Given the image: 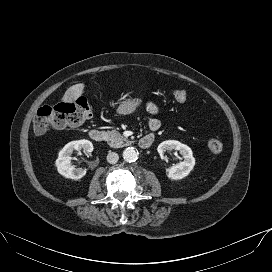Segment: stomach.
<instances>
[{"instance_id": "stomach-1", "label": "stomach", "mask_w": 272, "mask_h": 272, "mask_svg": "<svg viewBox=\"0 0 272 272\" xmlns=\"http://www.w3.org/2000/svg\"><path fill=\"white\" fill-rule=\"evenodd\" d=\"M141 102L142 100L140 98L123 101L119 104L117 112L120 115L131 114L137 109V107L141 104Z\"/></svg>"}]
</instances>
